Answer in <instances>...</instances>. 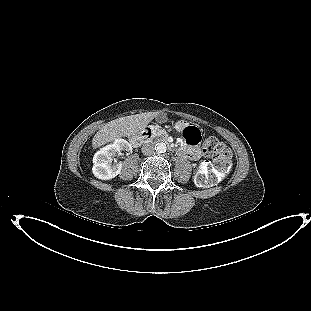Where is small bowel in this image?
<instances>
[{
  "mask_svg": "<svg viewBox=\"0 0 311 311\" xmlns=\"http://www.w3.org/2000/svg\"><path fill=\"white\" fill-rule=\"evenodd\" d=\"M189 126L185 121H177L175 123V128L181 131L184 135V140L181 143L179 153L181 156L188 157L193 160H197L200 157V151L196 146L197 143L190 140V138L184 134V130Z\"/></svg>",
  "mask_w": 311,
  "mask_h": 311,
  "instance_id": "1",
  "label": "small bowel"
}]
</instances>
